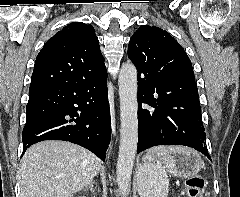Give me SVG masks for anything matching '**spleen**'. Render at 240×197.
<instances>
[{
    "instance_id": "3e777b00",
    "label": "spleen",
    "mask_w": 240,
    "mask_h": 197,
    "mask_svg": "<svg viewBox=\"0 0 240 197\" xmlns=\"http://www.w3.org/2000/svg\"><path fill=\"white\" fill-rule=\"evenodd\" d=\"M184 151L183 147L177 146H157L148 151L154 161L140 167L139 174L143 181V186L140 188L142 197H167L169 179L164 163L170 162L173 154Z\"/></svg>"
}]
</instances>
